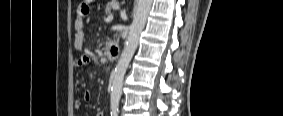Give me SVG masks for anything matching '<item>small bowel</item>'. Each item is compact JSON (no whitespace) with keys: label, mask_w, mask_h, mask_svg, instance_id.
<instances>
[{"label":"small bowel","mask_w":283,"mask_h":116,"mask_svg":"<svg viewBox=\"0 0 283 116\" xmlns=\"http://www.w3.org/2000/svg\"><path fill=\"white\" fill-rule=\"evenodd\" d=\"M77 14L79 17H76L74 20V38H73V45L76 49H81L83 46V41H84V21H83V16L86 14V8L85 6L81 5L78 10ZM90 59L88 57H82L76 62V67L81 68L83 66H86L90 63ZM82 98L84 101H90L93 98V94L90 90H85L83 92ZM81 103L76 102L75 107L80 108ZM97 116H104V112H99Z\"/></svg>","instance_id":"obj_1"}]
</instances>
